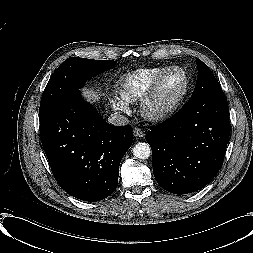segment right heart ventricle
Wrapping results in <instances>:
<instances>
[{"label":"right heart ventricle","mask_w":253,"mask_h":253,"mask_svg":"<svg viewBox=\"0 0 253 253\" xmlns=\"http://www.w3.org/2000/svg\"><path fill=\"white\" fill-rule=\"evenodd\" d=\"M169 67L142 68L123 75L116 87L119 98L129 104L136 103L147 92L154 79Z\"/></svg>","instance_id":"right-heart-ventricle-1"}]
</instances>
